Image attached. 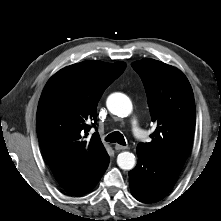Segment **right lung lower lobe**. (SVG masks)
I'll use <instances>...</instances> for the list:
<instances>
[{
	"instance_id": "98d812e1",
	"label": "right lung lower lobe",
	"mask_w": 221,
	"mask_h": 221,
	"mask_svg": "<svg viewBox=\"0 0 221 221\" xmlns=\"http://www.w3.org/2000/svg\"><path fill=\"white\" fill-rule=\"evenodd\" d=\"M109 163V161H108ZM108 163L105 165V167L99 172L97 173L96 176H94L92 179H90L88 182L79 185L73 189L70 190H66L68 193L73 194V195H81V194H85L88 191H90L91 189L94 188V186L98 183V181L100 180V178L102 177L103 173L105 172V170L108 167Z\"/></svg>"
}]
</instances>
